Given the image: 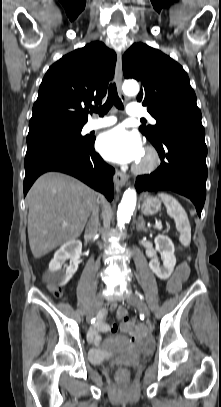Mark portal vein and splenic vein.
<instances>
[{"label": "portal vein and splenic vein", "instance_id": "18ae733b", "mask_svg": "<svg viewBox=\"0 0 221 407\" xmlns=\"http://www.w3.org/2000/svg\"><path fill=\"white\" fill-rule=\"evenodd\" d=\"M67 225V223H63V226H66ZM162 227H163V225H162V223H157L155 226H154V228H157V229H162Z\"/></svg>", "mask_w": 221, "mask_h": 407}]
</instances>
